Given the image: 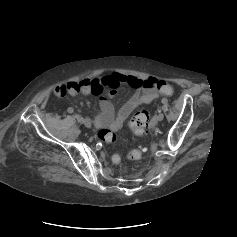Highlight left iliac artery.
Segmentation results:
<instances>
[{
    "label": "left iliac artery",
    "mask_w": 237,
    "mask_h": 237,
    "mask_svg": "<svg viewBox=\"0 0 237 237\" xmlns=\"http://www.w3.org/2000/svg\"><path fill=\"white\" fill-rule=\"evenodd\" d=\"M167 102H168V100H167L166 98H163V99H162V103H163V104H167Z\"/></svg>",
    "instance_id": "obj_1"
}]
</instances>
